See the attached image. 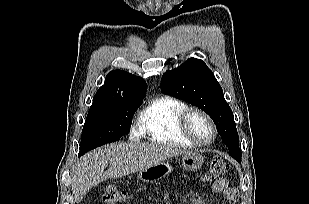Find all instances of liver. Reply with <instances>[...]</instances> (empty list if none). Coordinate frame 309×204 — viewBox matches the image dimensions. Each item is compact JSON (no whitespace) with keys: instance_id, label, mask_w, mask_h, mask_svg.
Segmentation results:
<instances>
[{"instance_id":"liver-1","label":"liver","mask_w":309,"mask_h":204,"mask_svg":"<svg viewBox=\"0 0 309 204\" xmlns=\"http://www.w3.org/2000/svg\"><path fill=\"white\" fill-rule=\"evenodd\" d=\"M188 151L155 143L118 142L84 155L73 168L72 192L76 202L94 186L120 178ZM109 169L104 171L106 166Z\"/></svg>"}]
</instances>
